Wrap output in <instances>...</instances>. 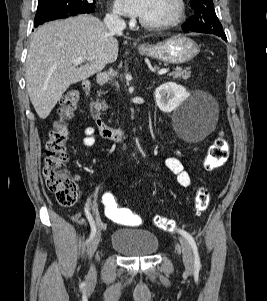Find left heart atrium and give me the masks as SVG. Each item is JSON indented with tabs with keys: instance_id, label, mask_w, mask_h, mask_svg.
<instances>
[{
	"instance_id": "obj_1",
	"label": "left heart atrium",
	"mask_w": 267,
	"mask_h": 301,
	"mask_svg": "<svg viewBox=\"0 0 267 301\" xmlns=\"http://www.w3.org/2000/svg\"><path fill=\"white\" fill-rule=\"evenodd\" d=\"M148 0H116L118 10L127 16L141 17L146 10Z\"/></svg>"
}]
</instances>
